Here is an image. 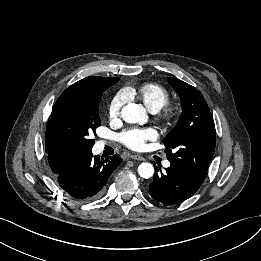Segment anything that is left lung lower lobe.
I'll list each match as a JSON object with an SVG mask.
<instances>
[{
  "label": "left lung lower lobe",
  "mask_w": 261,
  "mask_h": 261,
  "mask_svg": "<svg viewBox=\"0 0 261 261\" xmlns=\"http://www.w3.org/2000/svg\"><path fill=\"white\" fill-rule=\"evenodd\" d=\"M155 167L153 182L149 185L150 195L158 202L175 205L191 197L202 182L190 176L181 167L171 164L166 172Z\"/></svg>",
  "instance_id": "0a47b994"
}]
</instances>
